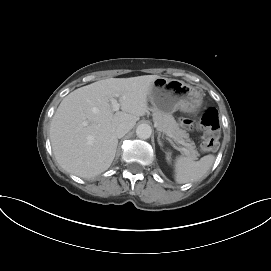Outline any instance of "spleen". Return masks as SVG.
<instances>
[{
	"label": "spleen",
	"mask_w": 271,
	"mask_h": 271,
	"mask_svg": "<svg viewBox=\"0 0 271 271\" xmlns=\"http://www.w3.org/2000/svg\"><path fill=\"white\" fill-rule=\"evenodd\" d=\"M215 161L212 154L202 157L198 161H194L191 157L178 156L175 160L174 177L179 184L198 181L206 175Z\"/></svg>",
	"instance_id": "3e777b00"
}]
</instances>
